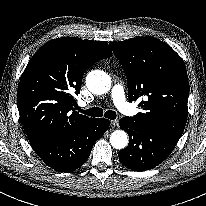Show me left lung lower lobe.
Here are the masks:
<instances>
[{"mask_svg":"<svg viewBox=\"0 0 206 206\" xmlns=\"http://www.w3.org/2000/svg\"><path fill=\"white\" fill-rule=\"evenodd\" d=\"M120 127L130 138L128 146L120 150L121 163L134 171H145L156 167L173 151L180 136L146 128L123 117Z\"/></svg>","mask_w":206,"mask_h":206,"instance_id":"1","label":"left lung lower lobe"}]
</instances>
